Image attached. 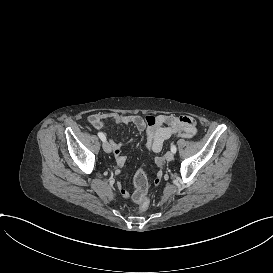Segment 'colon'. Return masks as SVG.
<instances>
[{
  "label": "colon",
  "mask_w": 273,
  "mask_h": 273,
  "mask_svg": "<svg viewBox=\"0 0 273 273\" xmlns=\"http://www.w3.org/2000/svg\"><path fill=\"white\" fill-rule=\"evenodd\" d=\"M168 118H171V116H169ZM145 122L148 126L154 127L158 124V119L154 115H146ZM134 183L138 188L135 193V196H136L137 203L140 206L139 208L134 209L133 214L134 216L139 217L141 216V214L146 213L149 208L148 200L143 198V196L145 195L147 191V185L145 183V176L141 169H138L136 171V174L134 176Z\"/></svg>",
  "instance_id": "colon-1"
}]
</instances>
